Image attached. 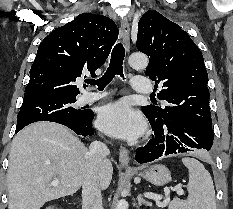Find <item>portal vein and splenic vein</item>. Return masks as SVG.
<instances>
[{
    "label": "portal vein and splenic vein",
    "instance_id": "1",
    "mask_svg": "<svg viewBox=\"0 0 233 209\" xmlns=\"http://www.w3.org/2000/svg\"><path fill=\"white\" fill-rule=\"evenodd\" d=\"M58 184H59V180L58 179H56V180H54V181L51 182L52 186H57ZM165 192H166V198L164 199L163 202H160V200L162 199V196L157 195V194L145 193L144 196L146 198L155 200L157 202V204H158L159 207H165L169 203V201H170V198L167 196L168 193H169V190H166ZM176 192H177L178 195H183L184 194L183 189L181 187H177Z\"/></svg>",
    "mask_w": 233,
    "mask_h": 209
}]
</instances>
